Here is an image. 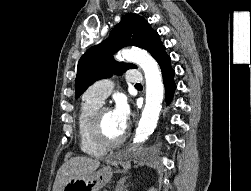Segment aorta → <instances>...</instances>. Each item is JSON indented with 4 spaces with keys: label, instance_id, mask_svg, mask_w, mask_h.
I'll return each mask as SVG.
<instances>
[{
    "label": "aorta",
    "instance_id": "762f6f07",
    "mask_svg": "<svg viewBox=\"0 0 251 191\" xmlns=\"http://www.w3.org/2000/svg\"><path fill=\"white\" fill-rule=\"evenodd\" d=\"M118 60H127L134 62L142 68L146 80V103L136 127L134 143L145 141L157 127L161 103L164 97V86L162 84L161 72L154 58L140 48H131V50H121L117 54Z\"/></svg>",
    "mask_w": 251,
    "mask_h": 191
}]
</instances>
